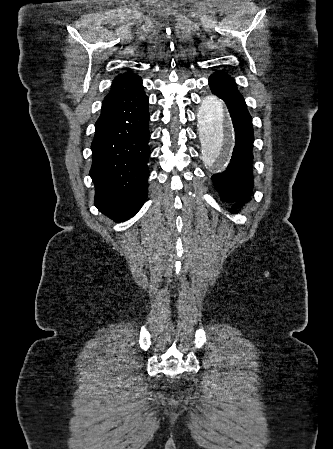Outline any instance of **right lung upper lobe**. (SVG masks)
<instances>
[{"label": "right lung upper lobe", "mask_w": 333, "mask_h": 449, "mask_svg": "<svg viewBox=\"0 0 333 449\" xmlns=\"http://www.w3.org/2000/svg\"><path fill=\"white\" fill-rule=\"evenodd\" d=\"M143 90L141 77L132 74L130 71L115 78L112 89L105 97L101 111L109 109L128 98L139 94Z\"/></svg>", "instance_id": "cb5924a9"}]
</instances>
